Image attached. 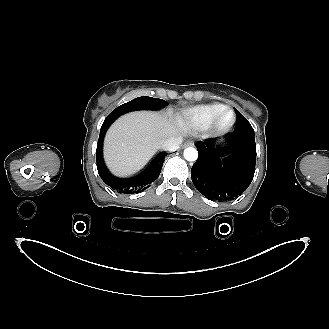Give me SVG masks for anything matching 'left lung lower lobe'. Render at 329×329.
<instances>
[{"label": "left lung lower lobe", "mask_w": 329, "mask_h": 329, "mask_svg": "<svg viewBox=\"0 0 329 329\" xmlns=\"http://www.w3.org/2000/svg\"><path fill=\"white\" fill-rule=\"evenodd\" d=\"M198 159L191 168L195 188L212 201L227 202L241 195L255 173L254 130L233 131L223 143L196 145Z\"/></svg>", "instance_id": "0a47b994"}]
</instances>
